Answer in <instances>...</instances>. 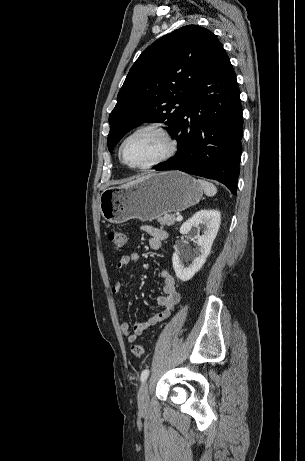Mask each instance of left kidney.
I'll use <instances>...</instances> for the list:
<instances>
[{"label":"left kidney","instance_id":"left-kidney-1","mask_svg":"<svg viewBox=\"0 0 305 461\" xmlns=\"http://www.w3.org/2000/svg\"><path fill=\"white\" fill-rule=\"evenodd\" d=\"M220 223L221 214L218 210H200L182 224L180 227V234L182 235L190 233L194 228L199 254L193 259L192 264L184 267L181 258L189 252L188 247L180 244L175 250L172 263L176 276L181 281L190 280L202 268L210 254ZM201 229H204V234L202 235L199 234Z\"/></svg>","mask_w":305,"mask_h":461}]
</instances>
